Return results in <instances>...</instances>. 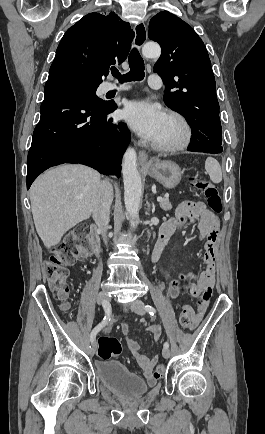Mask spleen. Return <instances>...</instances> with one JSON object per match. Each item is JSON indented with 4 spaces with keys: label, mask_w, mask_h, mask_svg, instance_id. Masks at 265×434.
<instances>
[{
    "label": "spleen",
    "mask_w": 265,
    "mask_h": 434,
    "mask_svg": "<svg viewBox=\"0 0 265 434\" xmlns=\"http://www.w3.org/2000/svg\"><path fill=\"white\" fill-rule=\"evenodd\" d=\"M205 170L207 174L210 176V180L214 182V184H219L222 180V172H221V166L217 160H214V158H207L205 162Z\"/></svg>",
    "instance_id": "spleen-1"
}]
</instances>
